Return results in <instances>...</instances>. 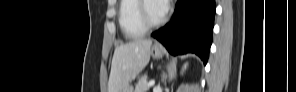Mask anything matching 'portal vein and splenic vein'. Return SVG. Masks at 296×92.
Wrapping results in <instances>:
<instances>
[{
    "label": "portal vein and splenic vein",
    "mask_w": 296,
    "mask_h": 92,
    "mask_svg": "<svg viewBox=\"0 0 296 92\" xmlns=\"http://www.w3.org/2000/svg\"><path fill=\"white\" fill-rule=\"evenodd\" d=\"M154 84H155V81H154V80H151V81H149L148 86L151 87V86H153Z\"/></svg>",
    "instance_id": "18ae733b"
}]
</instances>
